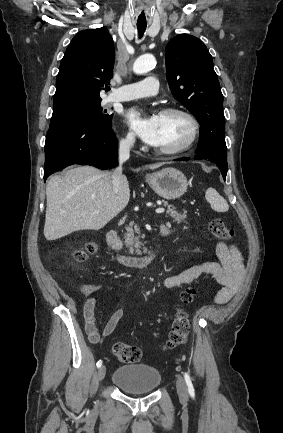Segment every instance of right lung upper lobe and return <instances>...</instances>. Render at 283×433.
<instances>
[{
    "instance_id": "obj_1",
    "label": "right lung upper lobe",
    "mask_w": 283,
    "mask_h": 433,
    "mask_svg": "<svg viewBox=\"0 0 283 433\" xmlns=\"http://www.w3.org/2000/svg\"><path fill=\"white\" fill-rule=\"evenodd\" d=\"M114 60L113 39L107 28L78 32L60 63L53 112L101 101L100 91L110 89Z\"/></svg>"
}]
</instances>
